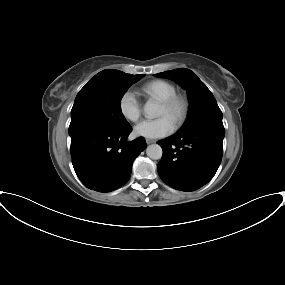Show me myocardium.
<instances>
[{"label": "myocardium", "mask_w": 285, "mask_h": 285, "mask_svg": "<svg viewBox=\"0 0 285 285\" xmlns=\"http://www.w3.org/2000/svg\"><path fill=\"white\" fill-rule=\"evenodd\" d=\"M160 103L166 109L177 111L174 122L176 128H179L185 123L191 108L190 100L186 94L175 93L167 99L160 101Z\"/></svg>", "instance_id": "obj_1"}]
</instances>
